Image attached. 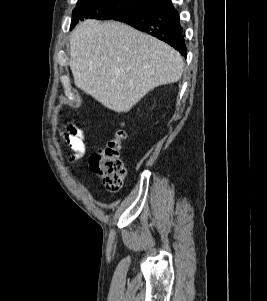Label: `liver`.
Masks as SVG:
<instances>
[{
  "instance_id": "6515ba94",
  "label": "liver",
  "mask_w": 267,
  "mask_h": 301,
  "mask_svg": "<svg viewBox=\"0 0 267 301\" xmlns=\"http://www.w3.org/2000/svg\"><path fill=\"white\" fill-rule=\"evenodd\" d=\"M69 65L77 87L118 113L155 87L177 82L184 70L168 44L120 22L95 20L72 32Z\"/></svg>"
}]
</instances>
